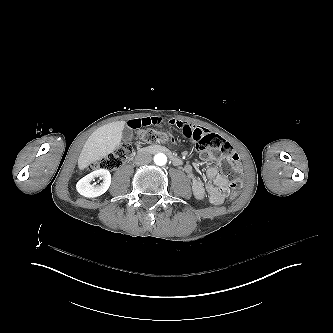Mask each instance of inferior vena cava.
<instances>
[{"label":"inferior vena cava","instance_id":"obj_1","mask_svg":"<svg viewBox=\"0 0 333 333\" xmlns=\"http://www.w3.org/2000/svg\"><path fill=\"white\" fill-rule=\"evenodd\" d=\"M151 161H152L151 154H149L144 150H140L134 159V163L138 166L149 164Z\"/></svg>","mask_w":333,"mask_h":333}]
</instances>
